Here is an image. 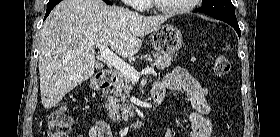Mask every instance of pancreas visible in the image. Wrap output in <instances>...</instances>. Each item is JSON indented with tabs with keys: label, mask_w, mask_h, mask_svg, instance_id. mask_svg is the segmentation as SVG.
<instances>
[{
	"label": "pancreas",
	"mask_w": 280,
	"mask_h": 137,
	"mask_svg": "<svg viewBox=\"0 0 280 137\" xmlns=\"http://www.w3.org/2000/svg\"><path fill=\"white\" fill-rule=\"evenodd\" d=\"M152 56L155 58V62H153L151 66L157 69L169 67L171 61L174 59L171 55H161L156 52H153ZM132 90L133 87L131 86L130 79L123 74H119L113 91L106 94L107 102L105 103V107L111 119L128 121V115L132 113V109L127 99L130 97V92Z\"/></svg>",
	"instance_id": "obj_1"
}]
</instances>
